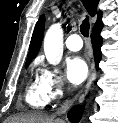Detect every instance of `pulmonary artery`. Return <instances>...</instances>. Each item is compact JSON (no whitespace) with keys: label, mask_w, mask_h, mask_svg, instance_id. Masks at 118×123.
<instances>
[{"label":"pulmonary artery","mask_w":118,"mask_h":123,"mask_svg":"<svg viewBox=\"0 0 118 123\" xmlns=\"http://www.w3.org/2000/svg\"><path fill=\"white\" fill-rule=\"evenodd\" d=\"M65 45L71 51H79L83 46V42L78 34H71L66 38Z\"/></svg>","instance_id":"e3ab8cb5"}]
</instances>
